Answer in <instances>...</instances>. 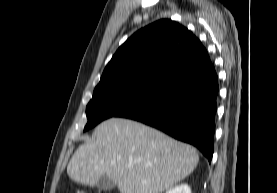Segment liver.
Listing matches in <instances>:
<instances>
[{"label": "liver", "instance_id": "6515ba94", "mask_svg": "<svg viewBox=\"0 0 277 193\" xmlns=\"http://www.w3.org/2000/svg\"><path fill=\"white\" fill-rule=\"evenodd\" d=\"M94 141L79 146L68 176L94 186L107 176L120 193H162L196 168V149L136 121L110 118L99 124Z\"/></svg>", "mask_w": 277, "mask_h": 193}]
</instances>
